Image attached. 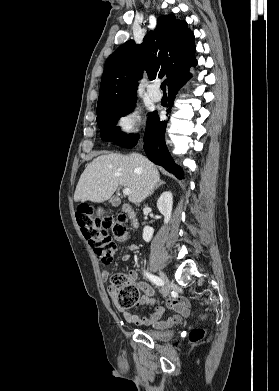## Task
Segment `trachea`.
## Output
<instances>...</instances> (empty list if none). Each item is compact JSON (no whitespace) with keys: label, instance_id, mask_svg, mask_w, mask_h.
<instances>
[{"label":"trachea","instance_id":"obj_1","mask_svg":"<svg viewBox=\"0 0 279 391\" xmlns=\"http://www.w3.org/2000/svg\"><path fill=\"white\" fill-rule=\"evenodd\" d=\"M161 89H162L163 91H166V81H163V82L161 83Z\"/></svg>","mask_w":279,"mask_h":391}]
</instances>
